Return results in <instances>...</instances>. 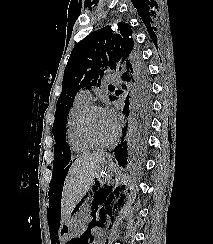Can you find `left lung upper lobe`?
<instances>
[{
	"label": "left lung upper lobe",
	"mask_w": 213,
	"mask_h": 244,
	"mask_svg": "<svg viewBox=\"0 0 213 244\" xmlns=\"http://www.w3.org/2000/svg\"><path fill=\"white\" fill-rule=\"evenodd\" d=\"M109 70L123 72L122 79L126 82L124 87L128 92L125 104L150 112V81L135 48L130 25L120 22L100 28L81 40L70 54L52 129L55 148L63 151L68 149L65 140L66 120L77 92L84 87H100L104 73ZM110 98L116 99L115 96Z\"/></svg>",
	"instance_id": "1"
}]
</instances>
